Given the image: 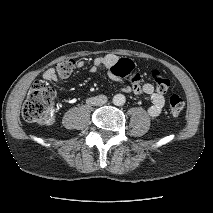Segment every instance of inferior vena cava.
I'll list each match as a JSON object with an SVG mask.
<instances>
[{
    "label": "inferior vena cava",
    "mask_w": 213,
    "mask_h": 213,
    "mask_svg": "<svg viewBox=\"0 0 213 213\" xmlns=\"http://www.w3.org/2000/svg\"><path fill=\"white\" fill-rule=\"evenodd\" d=\"M107 102V97L105 95H99L92 98L87 99V103L94 106H101Z\"/></svg>",
    "instance_id": "inferior-vena-cava-1"
}]
</instances>
